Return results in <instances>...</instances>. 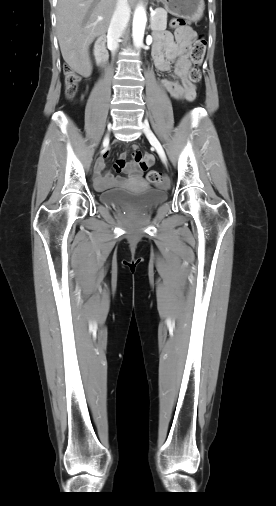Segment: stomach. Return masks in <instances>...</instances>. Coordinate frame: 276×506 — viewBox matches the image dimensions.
<instances>
[{
    "instance_id": "obj_1",
    "label": "stomach",
    "mask_w": 276,
    "mask_h": 506,
    "mask_svg": "<svg viewBox=\"0 0 276 506\" xmlns=\"http://www.w3.org/2000/svg\"><path fill=\"white\" fill-rule=\"evenodd\" d=\"M164 4L172 15L197 21L203 16L204 0H157Z\"/></svg>"
}]
</instances>
